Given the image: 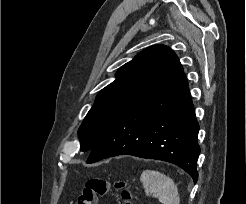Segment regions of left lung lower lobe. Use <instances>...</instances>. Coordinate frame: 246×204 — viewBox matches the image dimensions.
<instances>
[{"label":"left lung lower lobe","instance_id":"obj_1","mask_svg":"<svg viewBox=\"0 0 246 204\" xmlns=\"http://www.w3.org/2000/svg\"><path fill=\"white\" fill-rule=\"evenodd\" d=\"M199 125L182 72L115 122L90 150L87 163L133 155L173 163L197 182Z\"/></svg>","mask_w":246,"mask_h":204}]
</instances>
